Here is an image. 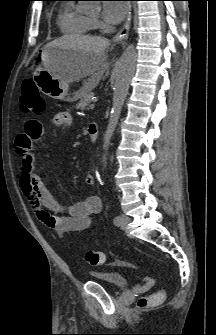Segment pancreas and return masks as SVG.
Wrapping results in <instances>:
<instances>
[{
	"label": "pancreas",
	"mask_w": 216,
	"mask_h": 335,
	"mask_svg": "<svg viewBox=\"0 0 216 335\" xmlns=\"http://www.w3.org/2000/svg\"><path fill=\"white\" fill-rule=\"evenodd\" d=\"M94 96V93L91 92V88L89 85H85L82 88V96L80 98V101L76 105V109H85L89 103H91L92 98Z\"/></svg>",
	"instance_id": "pancreas-1"
}]
</instances>
